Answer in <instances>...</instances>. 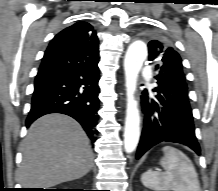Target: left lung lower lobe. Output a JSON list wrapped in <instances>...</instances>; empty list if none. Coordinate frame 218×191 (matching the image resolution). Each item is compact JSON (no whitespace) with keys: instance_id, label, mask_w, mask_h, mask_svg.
Instances as JSON below:
<instances>
[{"instance_id":"left-lung-lower-lobe-1","label":"left lung lower lobe","mask_w":218,"mask_h":191,"mask_svg":"<svg viewBox=\"0 0 218 191\" xmlns=\"http://www.w3.org/2000/svg\"><path fill=\"white\" fill-rule=\"evenodd\" d=\"M142 107L144 128L137 149V159L162 141L184 144L200 155L188 98L166 94L158 85L151 91L145 89L142 92Z\"/></svg>"}]
</instances>
